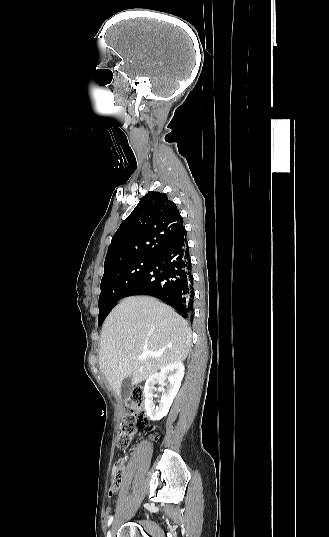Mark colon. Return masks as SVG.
Here are the masks:
<instances>
[{"mask_svg": "<svg viewBox=\"0 0 329 537\" xmlns=\"http://www.w3.org/2000/svg\"><path fill=\"white\" fill-rule=\"evenodd\" d=\"M125 403V413L116 439L117 448L122 451L129 447L136 433L148 425L144 412L145 393L141 387L134 388L126 397ZM121 478L122 468L117 466L113 471L110 494L120 486Z\"/></svg>", "mask_w": 329, "mask_h": 537, "instance_id": "obj_1", "label": "colon"}]
</instances>
